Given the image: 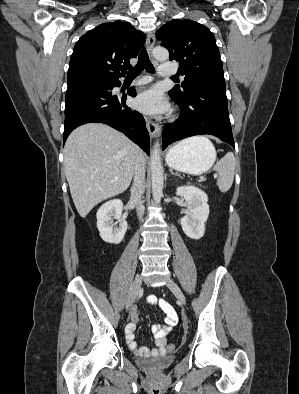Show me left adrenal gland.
Returning a JSON list of instances; mask_svg holds the SVG:
<instances>
[{
    "label": "left adrenal gland",
    "instance_id": "1",
    "mask_svg": "<svg viewBox=\"0 0 299 394\" xmlns=\"http://www.w3.org/2000/svg\"><path fill=\"white\" fill-rule=\"evenodd\" d=\"M169 171H170V173H171L172 175H176V176L181 177L178 173H174L172 169H170Z\"/></svg>",
    "mask_w": 299,
    "mask_h": 394
}]
</instances>
